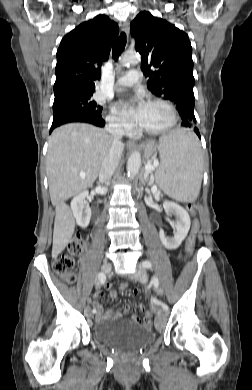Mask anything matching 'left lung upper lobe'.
Here are the masks:
<instances>
[{
	"instance_id": "5c2ea615",
	"label": "left lung upper lobe",
	"mask_w": 252,
	"mask_h": 390,
	"mask_svg": "<svg viewBox=\"0 0 252 390\" xmlns=\"http://www.w3.org/2000/svg\"><path fill=\"white\" fill-rule=\"evenodd\" d=\"M135 49L141 54V70L148 89L172 101L181 115L194 114L195 83L192 47L188 35L169 22L143 11L131 22Z\"/></svg>"
}]
</instances>
